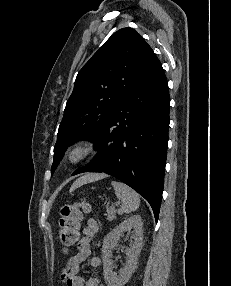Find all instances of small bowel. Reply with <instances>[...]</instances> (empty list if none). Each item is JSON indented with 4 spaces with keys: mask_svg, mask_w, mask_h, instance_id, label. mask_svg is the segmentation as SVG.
<instances>
[{
    "mask_svg": "<svg viewBox=\"0 0 231 286\" xmlns=\"http://www.w3.org/2000/svg\"><path fill=\"white\" fill-rule=\"evenodd\" d=\"M98 230V222L93 218L88 219L83 229V236L78 242L77 252L68 259L60 274L63 286H104L97 277L86 278L80 274V266L89 258L91 253V241ZM100 265V258L92 257L90 259L92 269H98Z\"/></svg>",
    "mask_w": 231,
    "mask_h": 286,
    "instance_id": "obj_1",
    "label": "small bowel"
}]
</instances>
